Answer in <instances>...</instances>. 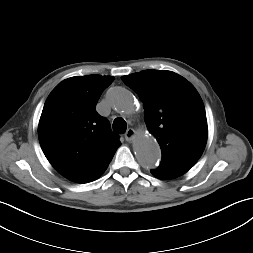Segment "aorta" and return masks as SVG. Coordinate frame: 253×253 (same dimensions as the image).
Returning a JSON list of instances; mask_svg holds the SVG:
<instances>
[{
    "mask_svg": "<svg viewBox=\"0 0 253 253\" xmlns=\"http://www.w3.org/2000/svg\"><path fill=\"white\" fill-rule=\"evenodd\" d=\"M107 99L112 109L120 114L129 115L134 110V96L125 88L114 87L110 89ZM134 151L138 161L145 168L155 167L161 157L159 144L148 136L144 130L136 136Z\"/></svg>",
    "mask_w": 253,
    "mask_h": 253,
    "instance_id": "1",
    "label": "aorta"
}]
</instances>
